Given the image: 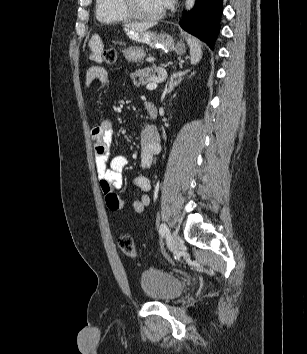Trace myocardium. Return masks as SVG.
<instances>
[{"mask_svg":"<svg viewBox=\"0 0 307 354\" xmlns=\"http://www.w3.org/2000/svg\"><path fill=\"white\" fill-rule=\"evenodd\" d=\"M120 9L130 18L143 21H154L162 17L163 10L155 14L141 13L135 5V0H118Z\"/></svg>","mask_w":307,"mask_h":354,"instance_id":"myocardium-1","label":"myocardium"}]
</instances>
